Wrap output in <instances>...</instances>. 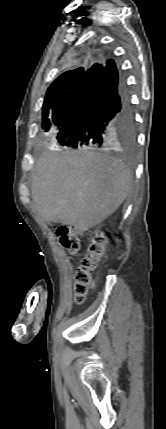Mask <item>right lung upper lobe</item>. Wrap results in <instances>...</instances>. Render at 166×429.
<instances>
[{"mask_svg": "<svg viewBox=\"0 0 166 429\" xmlns=\"http://www.w3.org/2000/svg\"><path fill=\"white\" fill-rule=\"evenodd\" d=\"M96 57V55H95V51H89L87 54H84V60H87V61H91V60H94V58ZM86 70H87V67H79V68H77V69H74V70H70V71H66L65 73H63V74H61L51 85H50V87L51 86H53V85H55L56 83H58V82H60V81H62V80H64V79H67V78H69V77H72V76H75V75H84L85 74V72H86Z\"/></svg>", "mask_w": 166, "mask_h": 429, "instance_id": "right-lung-upper-lobe-1", "label": "right lung upper lobe"}]
</instances>
